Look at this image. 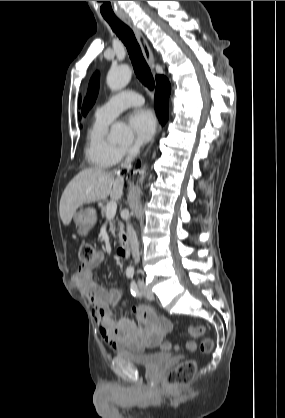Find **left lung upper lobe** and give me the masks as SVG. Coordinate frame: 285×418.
<instances>
[{
    "instance_id": "1",
    "label": "left lung upper lobe",
    "mask_w": 285,
    "mask_h": 418,
    "mask_svg": "<svg viewBox=\"0 0 285 418\" xmlns=\"http://www.w3.org/2000/svg\"><path fill=\"white\" fill-rule=\"evenodd\" d=\"M98 89H99V74L98 72H96L92 76L90 83H89L87 96L85 98L83 109H82V112L84 115L90 110V108L95 103V100L98 95Z\"/></svg>"
}]
</instances>
